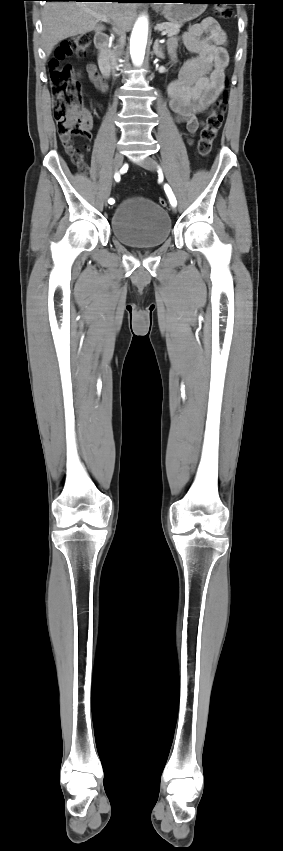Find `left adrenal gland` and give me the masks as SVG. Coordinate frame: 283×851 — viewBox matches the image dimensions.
<instances>
[{
    "label": "left adrenal gland",
    "mask_w": 283,
    "mask_h": 851,
    "mask_svg": "<svg viewBox=\"0 0 283 851\" xmlns=\"http://www.w3.org/2000/svg\"><path fill=\"white\" fill-rule=\"evenodd\" d=\"M153 52L157 57H159L161 59L165 58L163 47L159 44L158 39H156L155 42H154Z\"/></svg>",
    "instance_id": "left-adrenal-gland-1"
}]
</instances>
